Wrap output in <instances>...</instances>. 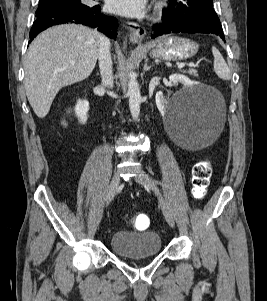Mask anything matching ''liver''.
I'll return each instance as SVG.
<instances>
[{
    "mask_svg": "<svg viewBox=\"0 0 267 301\" xmlns=\"http://www.w3.org/2000/svg\"><path fill=\"white\" fill-rule=\"evenodd\" d=\"M102 35L83 25L51 27L31 43L25 62L24 85L35 114L44 118L65 86L83 81L92 73Z\"/></svg>",
    "mask_w": 267,
    "mask_h": 301,
    "instance_id": "obj_1",
    "label": "liver"
}]
</instances>
